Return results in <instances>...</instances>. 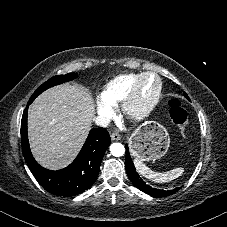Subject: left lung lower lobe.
Segmentation results:
<instances>
[{
    "mask_svg": "<svg viewBox=\"0 0 227 227\" xmlns=\"http://www.w3.org/2000/svg\"><path fill=\"white\" fill-rule=\"evenodd\" d=\"M126 148V158H125V167L128 174L129 179L131 182L141 191L145 192L146 194H149L151 196H157V197H166L171 194H174L177 192L180 188H175L173 190H160L156 188H152L151 186L147 185L141 177L138 175V173L135 170L133 161L131 160L128 146L125 145Z\"/></svg>",
    "mask_w": 227,
    "mask_h": 227,
    "instance_id": "obj_1",
    "label": "left lung lower lobe"
}]
</instances>
